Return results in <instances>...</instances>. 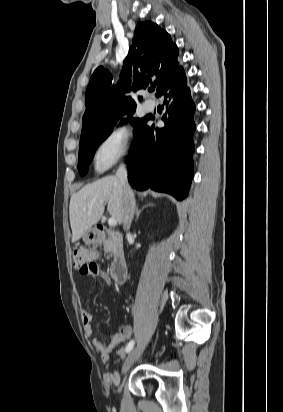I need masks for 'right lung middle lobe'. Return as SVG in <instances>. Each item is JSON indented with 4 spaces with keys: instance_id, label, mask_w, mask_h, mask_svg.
<instances>
[{
    "instance_id": "1",
    "label": "right lung middle lobe",
    "mask_w": 283,
    "mask_h": 412,
    "mask_svg": "<svg viewBox=\"0 0 283 412\" xmlns=\"http://www.w3.org/2000/svg\"><path fill=\"white\" fill-rule=\"evenodd\" d=\"M146 117L147 116L136 119L130 118L132 125L135 127V135L143 125ZM112 129L113 128L103 132L94 133L80 139L78 170L82 176L87 173L89 164L91 163L98 146L110 135Z\"/></svg>"
}]
</instances>
